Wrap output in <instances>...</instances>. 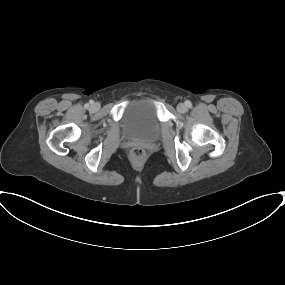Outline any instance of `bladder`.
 <instances>
[{
  "instance_id": "31cf9c89",
  "label": "bladder",
  "mask_w": 285,
  "mask_h": 285,
  "mask_svg": "<svg viewBox=\"0 0 285 285\" xmlns=\"http://www.w3.org/2000/svg\"><path fill=\"white\" fill-rule=\"evenodd\" d=\"M122 128L128 138L155 141L160 134L155 104L145 98L132 101L124 110Z\"/></svg>"
}]
</instances>
